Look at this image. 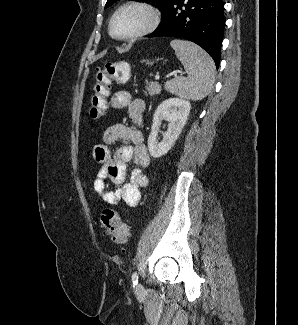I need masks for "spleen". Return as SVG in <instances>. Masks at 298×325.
Returning a JSON list of instances; mask_svg holds the SVG:
<instances>
[{"instance_id":"obj_1","label":"spleen","mask_w":298,"mask_h":325,"mask_svg":"<svg viewBox=\"0 0 298 325\" xmlns=\"http://www.w3.org/2000/svg\"><path fill=\"white\" fill-rule=\"evenodd\" d=\"M177 58L182 62L188 76H176L166 80L164 84L167 92H172L180 98L198 100L210 94L215 78V64L213 58L190 40H171Z\"/></svg>"}]
</instances>
